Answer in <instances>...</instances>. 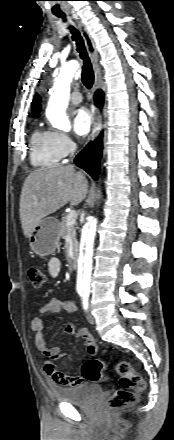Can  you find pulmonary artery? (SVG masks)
<instances>
[{
    "label": "pulmonary artery",
    "mask_w": 174,
    "mask_h": 440,
    "mask_svg": "<svg viewBox=\"0 0 174 440\" xmlns=\"http://www.w3.org/2000/svg\"><path fill=\"white\" fill-rule=\"evenodd\" d=\"M70 101L73 104H79L82 101V95L80 92L78 91H74L71 95H70Z\"/></svg>",
    "instance_id": "pulmonary-artery-1"
}]
</instances>
